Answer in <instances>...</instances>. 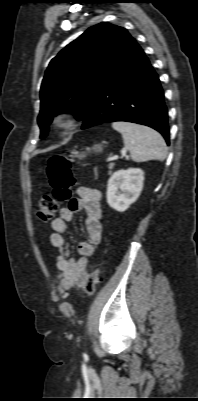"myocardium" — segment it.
I'll return each instance as SVG.
<instances>
[{
	"label": "myocardium",
	"mask_w": 198,
	"mask_h": 401,
	"mask_svg": "<svg viewBox=\"0 0 198 401\" xmlns=\"http://www.w3.org/2000/svg\"><path fill=\"white\" fill-rule=\"evenodd\" d=\"M78 124L77 115L74 111L64 110L53 116V130L61 135L68 134L76 128Z\"/></svg>",
	"instance_id": "myocardium-1"
}]
</instances>
